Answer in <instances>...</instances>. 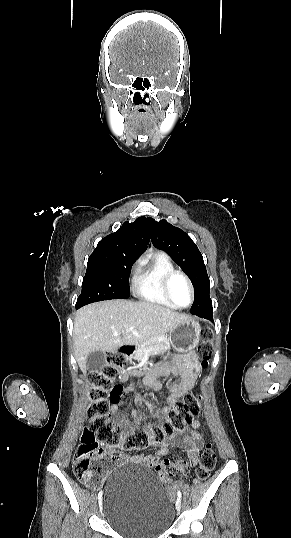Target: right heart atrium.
Masks as SVG:
<instances>
[{"mask_svg": "<svg viewBox=\"0 0 291 538\" xmlns=\"http://www.w3.org/2000/svg\"><path fill=\"white\" fill-rule=\"evenodd\" d=\"M137 266H138L137 264H136V265H134V267H133V271H137V269H138V267H137Z\"/></svg>", "mask_w": 291, "mask_h": 538, "instance_id": "right-heart-atrium-1", "label": "right heart atrium"}]
</instances>
